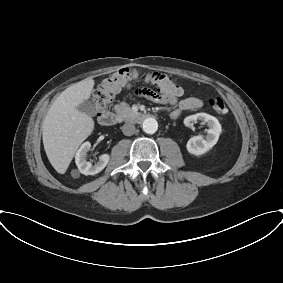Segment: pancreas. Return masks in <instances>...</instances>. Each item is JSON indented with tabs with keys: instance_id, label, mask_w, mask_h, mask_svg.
<instances>
[{
	"instance_id": "pancreas-1",
	"label": "pancreas",
	"mask_w": 283,
	"mask_h": 283,
	"mask_svg": "<svg viewBox=\"0 0 283 283\" xmlns=\"http://www.w3.org/2000/svg\"><path fill=\"white\" fill-rule=\"evenodd\" d=\"M114 110L120 119L130 118L134 114L130 106L125 102L115 105Z\"/></svg>"
}]
</instances>
